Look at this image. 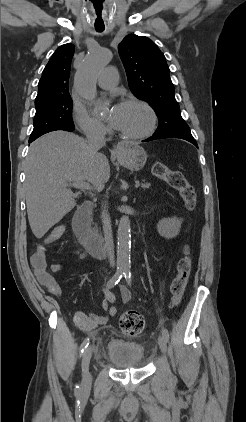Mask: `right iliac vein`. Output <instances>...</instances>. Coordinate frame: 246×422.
Instances as JSON below:
<instances>
[{
    "label": "right iliac vein",
    "mask_w": 246,
    "mask_h": 422,
    "mask_svg": "<svg viewBox=\"0 0 246 422\" xmlns=\"http://www.w3.org/2000/svg\"><path fill=\"white\" fill-rule=\"evenodd\" d=\"M93 353V346H89L84 354L82 359V386L84 389H87L91 384V375L89 373V364Z\"/></svg>",
    "instance_id": "obj_1"
}]
</instances>
